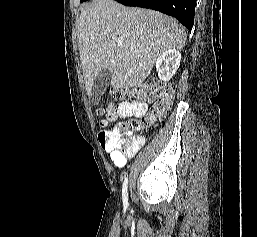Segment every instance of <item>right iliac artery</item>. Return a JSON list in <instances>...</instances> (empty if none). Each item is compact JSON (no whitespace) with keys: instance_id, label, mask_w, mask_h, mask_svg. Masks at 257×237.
<instances>
[{"instance_id":"right-iliac-artery-1","label":"right iliac artery","mask_w":257,"mask_h":237,"mask_svg":"<svg viewBox=\"0 0 257 237\" xmlns=\"http://www.w3.org/2000/svg\"><path fill=\"white\" fill-rule=\"evenodd\" d=\"M127 188H128V178H125V180L123 182V189H122V199H123V204L125 206L128 205V192H127Z\"/></svg>"}]
</instances>
